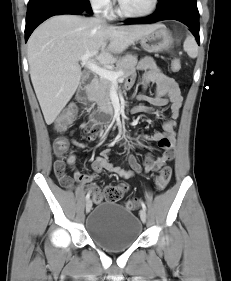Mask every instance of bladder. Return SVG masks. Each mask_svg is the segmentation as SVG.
I'll list each match as a JSON object with an SVG mask.
<instances>
[{
    "label": "bladder",
    "instance_id": "obj_1",
    "mask_svg": "<svg viewBox=\"0 0 231 281\" xmlns=\"http://www.w3.org/2000/svg\"><path fill=\"white\" fill-rule=\"evenodd\" d=\"M90 239L108 251H121L132 246L142 233L138 217L119 204L102 202L86 219Z\"/></svg>",
    "mask_w": 231,
    "mask_h": 281
}]
</instances>
